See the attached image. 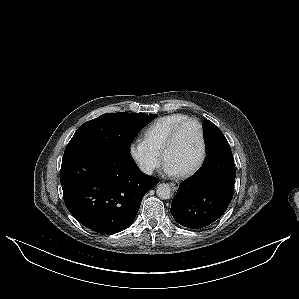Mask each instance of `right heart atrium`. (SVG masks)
I'll return each mask as SVG.
<instances>
[{
	"label": "right heart atrium",
	"instance_id": "d8ad5b80",
	"mask_svg": "<svg viewBox=\"0 0 299 299\" xmlns=\"http://www.w3.org/2000/svg\"><path fill=\"white\" fill-rule=\"evenodd\" d=\"M131 155L139 168L145 173H151L159 166L157 154L150 151L145 142L133 144Z\"/></svg>",
	"mask_w": 299,
	"mask_h": 299
}]
</instances>
